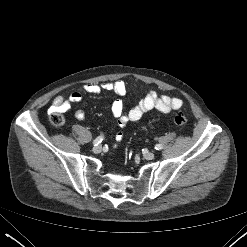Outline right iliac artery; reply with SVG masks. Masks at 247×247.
<instances>
[{"mask_svg":"<svg viewBox=\"0 0 247 247\" xmlns=\"http://www.w3.org/2000/svg\"><path fill=\"white\" fill-rule=\"evenodd\" d=\"M103 140V136H99L97 137L94 141H93V145L97 146L99 143H101Z\"/></svg>","mask_w":247,"mask_h":247,"instance_id":"obj_1","label":"right iliac artery"}]
</instances>
